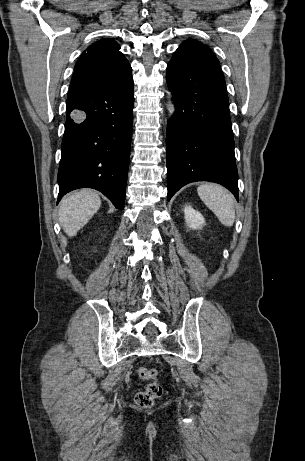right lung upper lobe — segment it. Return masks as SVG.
Returning <instances> with one entry per match:
<instances>
[{
  "mask_svg": "<svg viewBox=\"0 0 305 461\" xmlns=\"http://www.w3.org/2000/svg\"><path fill=\"white\" fill-rule=\"evenodd\" d=\"M112 39H101L82 53L74 69L70 90L107 84L131 73V67Z\"/></svg>",
  "mask_w": 305,
  "mask_h": 461,
  "instance_id": "cb5924a9",
  "label": "right lung upper lobe"
}]
</instances>
